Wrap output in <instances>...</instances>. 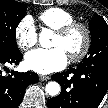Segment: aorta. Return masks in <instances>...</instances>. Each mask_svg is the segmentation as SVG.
Returning a JSON list of instances; mask_svg holds the SVG:
<instances>
[{
  "label": "aorta",
  "mask_w": 108,
  "mask_h": 108,
  "mask_svg": "<svg viewBox=\"0 0 108 108\" xmlns=\"http://www.w3.org/2000/svg\"><path fill=\"white\" fill-rule=\"evenodd\" d=\"M53 36V32L50 29H43L39 34V43L44 48H49L51 46L50 39ZM60 85L53 81L46 85V92L51 96H56L60 93Z\"/></svg>",
  "instance_id": "obj_1"
}]
</instances>
